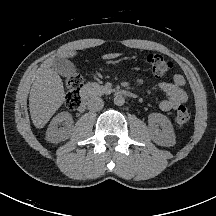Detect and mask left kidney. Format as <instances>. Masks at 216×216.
I'll return each instance as SVG.
<instances>
[{
	"mask_svg": "<svg viewBox=\"0 0 216 216\" xmlns=\"http://www.w3.org/2000/svg\"><path fill=\"white\" fill-rule=\"evenodd\" d=\"M161 127V130L158 127ZM148 131L151 139L160 146H174L176 137L171 121L161 113H151L148 117Z\"/></svg>",
	"mask_w": 216,
	"mask_h": 216,
	"instance_id": "1",
	"label": "left kidney"
}]
</instances>
